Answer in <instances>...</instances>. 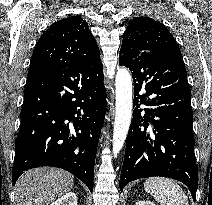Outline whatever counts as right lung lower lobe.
I'll use <instances>...</instances> for the list:
<instances>
[{
  "instance_id": "obj_1",
  "label": "right lung lower lobe",
  "mask_w": 212,
  "mask_h": 205,
  "mask_svg": "<svg viewBox=\"0 0 212 205\" xmlns=\"http://www.w3.org/2000/svg\"><path fill=\"white\" fill-rule=\"evenodd\" d=\"M103 65L28 75L15 145L12 182L26 170L53 166L93 190L94 164L106 113Z\"/></svg>"
}]
</instances>
